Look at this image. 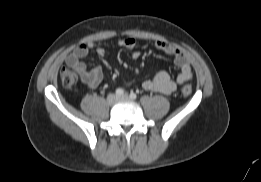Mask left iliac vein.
Returning a JSON list of instances; mask_svg holds the SVG:
<instances>
[{
	"label": "left iliac vein",
	"instance_id": "left-iliac-vein-1",
	"mask_svg": "<svg viewBox=\"0 0 261 182\" xmlns=\"http://www.w3.org/2000/svg\"><path fill=\"white\" fill-rule=\"evenodd\" d=\"M127 99H129V96L126 94L118 98V100H127Z\"/></svg>",
	"mask_w": 261,
	"mask_h": 182
}]
</instances>
